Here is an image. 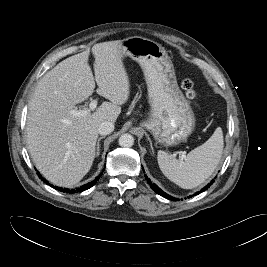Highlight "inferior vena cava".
I'll return each instance as SVG.
<instances>
[{"label":"inferior vena cava","mask_w":267,"mask_h":267,"mask_svg":"<svg viewBox=\"0 0 267 267\" xmlns=\"http://www.w3.org/2000/svg\"><path fill=\"white\" fill-rule=\"evenodd\" d=\"M114 130V124L109 121H104L99 125L98 133L100 135H108Z\"/></svg>","instance_id":"1"}]
</instances>
